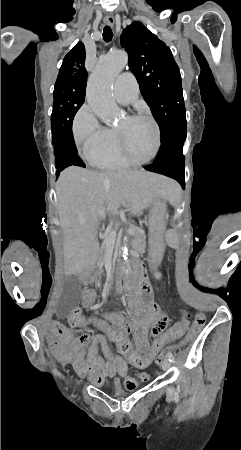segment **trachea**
I'll return each mask as SVG.
<instances>
[{
  "label": "trachea",
  "instance_id": "trachea-1",
  "mask_svg": "<svg viewBox=\"0 0 241 450\" xmlns=\"http://www.w3.org/2000/svg\"><path fill=\"white\" fill-rule=\"evenodd\" d=\"M112 38H113L112 29L108 25H106V27H104L103 30V40L108 43L111 42Z\"/></svg>",
  "mask_w": 241,
  "mask_h": 450
}]
</instances>
